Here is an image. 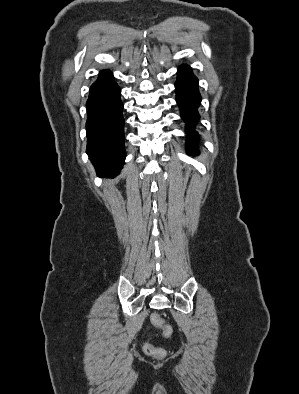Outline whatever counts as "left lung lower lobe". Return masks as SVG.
<instances>
[{
  "label": "left lung lower lobe",
  "instance_id": "obj_1",
  "mask_svg": "<svg viewBox=\"0 0 299 394\" xmlns=\"http://www.w3.org/2000/svg\"><path fill=\"white\" fill-rule=\"evenodd\" d=\"M175 88L176 101L181 110V117L186 122L187 153L199 154L196 147L198 133L194 130V126L199 119L197 109L201 102V96L198 91V79L193 75L189 66L182 65L179 67Z\"/></svg>",
  "mask_w": 299,
  "mask_h": 394
}]
</instances>
